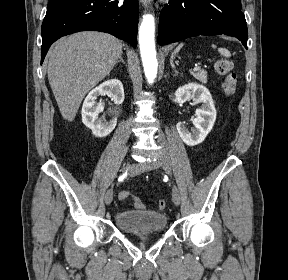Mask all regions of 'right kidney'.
Wrapping results in <instances>:
<instances>
[{
	"instance_id": "1",
	"label": "right kidney",
	"mask_w": 288,
	"mask_h": 280,
	"mask_svg": "<svg viewBox=\"0 0 288 280\" xmlns=\"http://www.w3.org/2000/svg\"><path fill=\"white\" fill-rule=\"evenodd\" d=\"M99 95H108L116 105L124 101V89L121 81L111 79L94 88L87 95L82 106V122L92 130L96 137L109 135L116 126V118L106 120L105 116H99L104 107L96 102Z\"/></svg>"
}]
</instances>
